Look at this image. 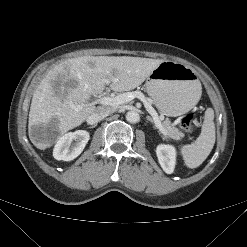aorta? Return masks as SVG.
I'll return each instance as SVG.
<instances>
[{
  "label": "aorta",
  "instance_id": "762f6f07",
  "mask_svg": "<svg viewBox=\"0 0 247 247\" xmlns=\"http://www.w3.org/2000/svg\"><path fill=\"white\" fill-rule=\"evenodd\" d=\"M139 119H140V116L136 110H131L126 113V120L129 123H137Z\"/></svg>",
  "mask_w": 247,
  "mask_h": 247
}]
</instances>
